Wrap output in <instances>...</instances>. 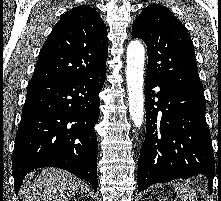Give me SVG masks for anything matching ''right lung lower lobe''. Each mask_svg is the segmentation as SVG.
<instances>
[{"instance_id": "obj_1", "label": "right lung lower lobe", "mask_w": 221, "mask_h": 201, "mask_svg": "<svg viewBox=\"0 0 221 201\" xmlns=\"http://www.w3.org/2000/svg\"><path fill=\"white\" fill-rule=\"evenodd\" d=\"M106 72L60 81H29L13 151L18 194L24 176L58 167L87 180L97 191V137Z\"/></svg>"}]
</instances>
